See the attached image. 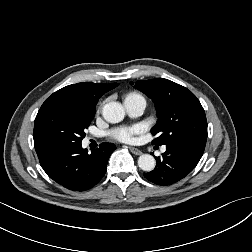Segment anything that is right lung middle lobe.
Instances as JSON below:
<instances>
[{"label": "right lung middle lobe", "mask_w": 252, "mask_h": 252, "mask_svg": "<svg viewBox=\"0 0 252 252\" xmlns=\"http://www.w3.org/2000/svg\"><path fill=\"white\" fill-rule=\"evenodd\" d=\"M95 115L94 111L64 103L42 106L34 124V145L49 143H80Z\"/></svg>", "instance_id": "dd1d6c3e"}]
</instances>
